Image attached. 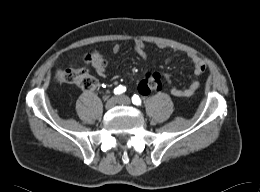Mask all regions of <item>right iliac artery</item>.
<instances>
[{
  "instance_id": "1",
  "label": "right iliac artery",
  "mask_w": 260,
  "mask_h": 192,
  "mask_svg": "<svg viewBox=\"0 0 260 192\" xmlns=\"http://www.w3.org/2000/svg\"><path fill=\"white\" fill-rule=\"evenodd\" d=\"M125 91H126V87L123 86V85H119L118 87H116V88L114 89V93H115L116 95L123 94Z\"/></svg>"
}]
</instances>
